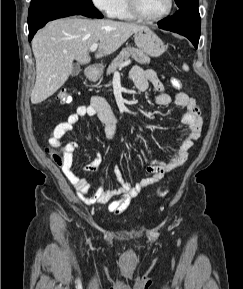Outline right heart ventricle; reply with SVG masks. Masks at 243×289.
I'll return each instance as SVG.
<instances>
[{
  "mask_svg": "<svg viewBox=\"0 0 243 289\" xmlns=\"http://www.w3.org/2000/svg\"><path fill=\"white\" fill-rule=\"evenodd\" d=\"M111 16L120 20L136 19L128 9L127 0H119Z\"/></svg>",
  "mask_w": 243,
  "mask_h": 289,
  "instance_id": "1",
  "label": "right heart ventricle"
}]
</instances>
